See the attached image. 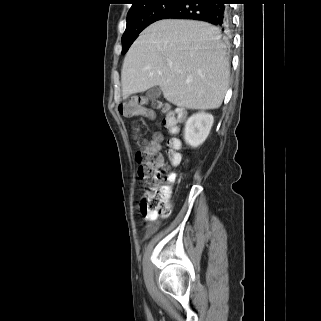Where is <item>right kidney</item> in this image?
<instances>
[{
  "label": "right kidney",
  "mask_w": 321,
  "mask_h": 321,
  "mask_svg": "<svg viewBox=\"0 0 321 321\" xmlns=\"http://www.w3.org/2000/svg\"><path fill=\"white\" fill-rule=\"evenodd\" d=\"M214 118L211 114L199 112L189 117L185 123L184 140L191 147H198L208 137Z\"/></svg>",
  "instance_id": "ca27d5eb"
}]
</instances>
